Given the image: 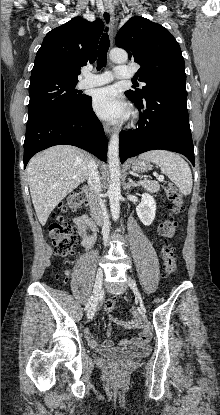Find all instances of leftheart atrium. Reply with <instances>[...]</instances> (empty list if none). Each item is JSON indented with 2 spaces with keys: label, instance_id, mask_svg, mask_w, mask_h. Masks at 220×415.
<instances>
[{
  "label": "left heart atrium",
  "instance_id": "left-heart-atrium-1",
  "mask_svg": "<svg viewBox=\"0 0 220 415\" xmlns=\"http://www.w3.org/2000/svg\"><path fill=\"white\" fill-rule=\"evenodd\" d=\"M93 109L103 119L116 120L126 117L128 111L113 86L98 89L93 94Z\"/></svg>",
  "mask_w": 220,
  "mask_h": 415
}]
</instances>
